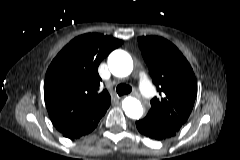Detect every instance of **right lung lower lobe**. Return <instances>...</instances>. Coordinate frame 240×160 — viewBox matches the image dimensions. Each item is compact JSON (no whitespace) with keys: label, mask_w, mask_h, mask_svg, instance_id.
I'll return each instance as SVG.
<instances>
[{"label":"right lung lower lobe","mask_w":240,"mask_h":160,"mask_svg":"<svg viewBox=\"0 0 240 160\" xmlns=\"http://www.w3.org/2000/svg\"><path fill=\"white\" fill-rule=\"evenodd\" d=\"M105 112H102L101 114L97 115L96 117H94L88 121L76 123V124L70 126L65 131L61 132L62 135L64 137H67V138L73 140V139H77V138H80L81 136L89 134L96 128L99 120L105 114Z\"/></svg>","instance_id":"98d812e1"}]
</instances>
